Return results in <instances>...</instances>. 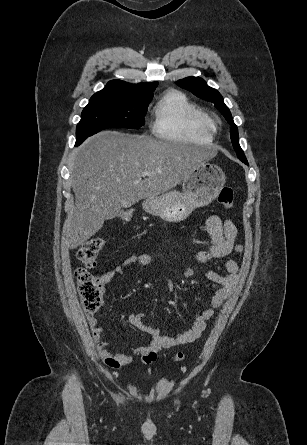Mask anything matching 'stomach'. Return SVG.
<instances>
[{
	"label": "stomach",
	"mask_w": 307,
	"mask_h": 445,
	"mask_svg": "<svg viewBox=\"0 0 307 445\" xmlns=\"http://www.w3.org/2000/svg\"><path fill=\"white\" fill-rule=\"evenodd\" d=\"M225 172L217 164L201 162L190 170L180 190H169L160 196H149L142 202L143 210L160 216L168 223H180L194 208L210 204L225 184Z\"/></svg>",
	"instance_id": "1"
}]
</instances>
